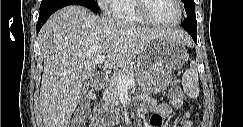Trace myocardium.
<instances>
[{
  "instance_id": "myocardium-1",
  "label": "myocardium",
  "mask_w": 243,
  "mask_h": 127,
  "mask_svg": "<svg viewBox=\"0 0 243 127\" xmlns=\"http://www.w3.org/2000/svg\"><path fill=\"white\" fill-rule=\"evenodd\" d=\"M147 0H137V10L139 12V14L150 24L158 26V27H163V28H172V27H176L178 26L184 16V8H183V4L181 0H175L178 9H179V16L177 18L176 21L172 22V23H164V22H160L157 19H155L148 11L147 8Z\"/></svg>"
}]
</instances>
